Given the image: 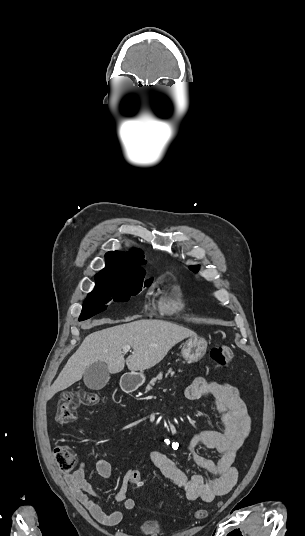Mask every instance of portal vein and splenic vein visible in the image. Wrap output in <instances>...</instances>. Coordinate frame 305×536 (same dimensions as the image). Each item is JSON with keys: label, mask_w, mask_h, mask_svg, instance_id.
<instances>
[{"label": "portal vein and splenic vein", "mask_w": 305, "mask_h": 536, "mask_svg": "<svg viewBox=\"0 0 305 536\" xmlns=\"http://www.w3.org/2000/svg\"><path fill=\"white\" fill-rule=\"evenodd\" d=\"M122 352H131V346H123Z\"/></svg>", "instance_id": "1"}]
</instances>
